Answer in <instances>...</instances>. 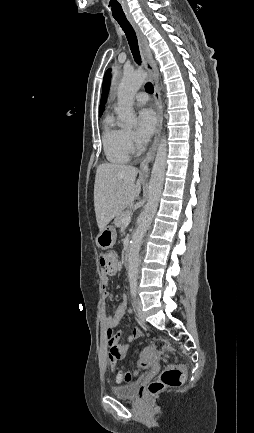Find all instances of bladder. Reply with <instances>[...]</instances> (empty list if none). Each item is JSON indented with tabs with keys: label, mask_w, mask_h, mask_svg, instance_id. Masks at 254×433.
<instances>
[{
	"label": "bladder",
	"mask_w": 254,
	"mask_h": 433,
	"mask_svg": "<svg viewBox=\"0 0 254 433\" xmlns=\"http://www.w3.org/2000/svg\"><path fill=\"white\" fill-rule=\"evenodd\" d=\"M139 385L137 382L126 383L111 387V394L118 398L134 399L138 395Z\"/></svg>",
	"instance_id": "1"
}]
</instances>
